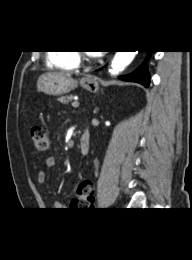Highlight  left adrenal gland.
Returning <instances> with one entry per match:
<instances>
[{
  "label": "left adrenal gland",
  "mask_w": 192,
  "mask_h": 260,
  "mask_svg": "<svg viewBox=\"0 0 192 260\" xmlns=\"http://www.w3.org/2000/svg\"><path fill=\"white\" fill-rule=\"evenodd\" d=\"M98 111V108H95V112H97Z\"/></svg>",
  "instance_id": "a2214340"
}]
</instances>
